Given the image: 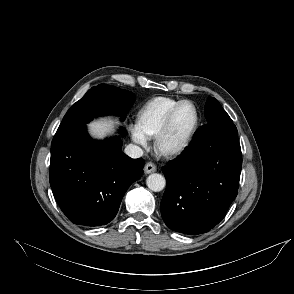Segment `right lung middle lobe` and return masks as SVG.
I'll return each instance as SVG.
<instances>
[{
	"label": "right lung middle lobe",
	"mask_w": 294,
	"mask_h": 294,
	"mask_svg": "<svg viewBox=\"0 0 294 294\" xmlns=\"http://www.w3.org/2000/svg\"><path fill=\"white\" fill-rule=\"evenodd\" d=\"M117 91L119 92L118 97L111 106L95 103L86 93L67 111L57 131L86 124L93 118L105 114H118L124 119L134 102V95L126 90L117 89Z\"/></svg>",
	"instance_id": "1"
}]
</instances>
